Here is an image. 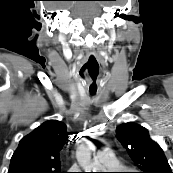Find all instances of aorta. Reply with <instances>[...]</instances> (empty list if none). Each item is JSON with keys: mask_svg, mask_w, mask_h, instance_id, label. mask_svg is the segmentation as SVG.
<instances>
[{"mask_svg": "<svg viewBox=\"0 0 173 173\" xmlns=\"http://www.w3.org/2000/svg\"><path fill=\"white\" fill-rule=\"evenodd\" d=\"M77 160L84 172H96L97 166L91 159V152L88 148L77 151Z\"/></svg>", "mask_w": 173, "mask_h": 173, "instance_id": "1", "label": "aorta"}]
</instances>
